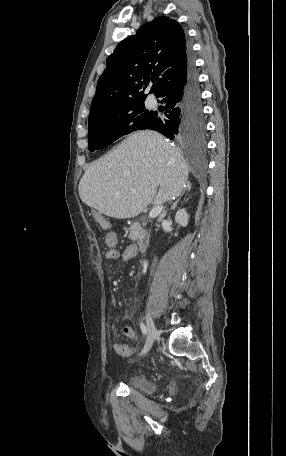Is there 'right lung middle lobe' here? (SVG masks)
<instances>
[{
  "mask_svg": "<svg viewBox=\"0 0 286 456\" xmlns=\"http://www.w3.org/2000/svg\"><path fill=\"white\" fill-rule=\"evenodd\" d=\"M155 111L145 109L144 101L119 105L99 113L88 121V149H102L133 131L146 129ZM189 134H201L202 125L186 127ZM186 139V138H183Z\"/></svg>",
  "mask_w": 286,
  "mask_h": 456,
  "instance_id": "dd1d6c3e",
  "label": "right lung middle lobe"
}]
</instances>
